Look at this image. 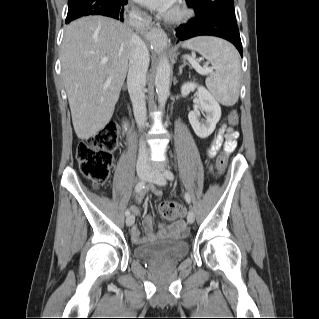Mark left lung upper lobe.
Returning a JSON list of instances; mask_svg holds the SVG:
<instances>
[{"label": "left lung upper lobe", "instance_id": "1", "mask_svg": "<svg viewBox=\"0 0 319 319\" xmlns=\"http://www.w3.org/2000/svg\"><path fill=\"white\" fill-rule=\"evenodd\" d=\"M195 17L220 16L236 21L233 0H186Z\"/></svg>", "mask_w": 319, "mask_h": 319}]
</instances>
